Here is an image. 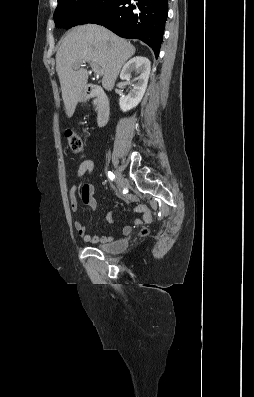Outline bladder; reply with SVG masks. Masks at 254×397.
Wrapping results in <instances>:
<instances>
[{
    "mask_svg": "<svg viewBox=\"0 0 254 397\" xmlns=\"http://www.w3.org/2000/svg\"><path fill=\"white\" fill-rule=\"evenodd\" d=\"M98 248L103 252L117 253L126 248V242L119 240L106 245H101Z\"/></svg>",
    "mask_w": 254,
    "mask_h": 397,
    "instance_id": "1",
    "label": "bladder"
}]
</instances>
